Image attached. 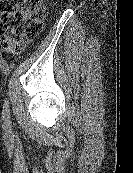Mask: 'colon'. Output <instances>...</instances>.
Listing matches in <instances>:
<instances>
[{
  "instance_id": "1",
  "label": "colon",
  "mask_w": 133,
  "mask_h": 173,
  "mask_svg": "<svg viewBox=\"0 0 133 173\" xmlns=\"http://www.w3.org/2000/svg\"><path fill=\"white\" fill-rule=\"evenodd\" d=\"M43 0H0V46L20 53L26 42L36 38L43 27Z\"/></svg>"
}]
</instances>
